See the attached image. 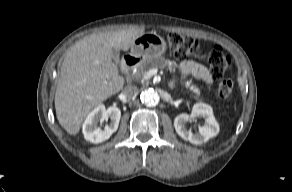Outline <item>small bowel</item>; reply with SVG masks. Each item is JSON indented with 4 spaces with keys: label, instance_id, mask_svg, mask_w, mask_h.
<instances>
[{
    "label": "small bowel",
    "instance_id": "small-bowel-1",
    "mask_svg": "<svg viewBox=\"0 0 292 192\" xmlns=\"http://www.w3.org/2000/svg\"><path fill=\"white\" fill-rule=\"evenodd\" d=\"M180 71L183 75H191L206 83L212 82V77L209 71L204 66L193 60L183 61L180 65Z\"/></svg>",
    "mask_w": 292,
    "mask_h": 192
}]
</instances>
